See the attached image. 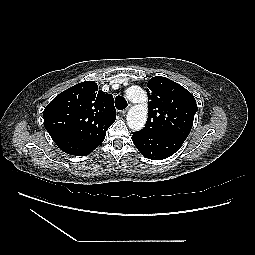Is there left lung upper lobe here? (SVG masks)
<instances>
[{
  "mask_svg": "<svg viewBox=\"0 0 255 255\" xmlns=\"http://www.w3.org/2000/svg\"><path fill=\"white\" fill-rule=\"evenodd\" d=\"M149 113L145 135H174L187 138L197 112L194 96L180 84L162 76L147 84Z\"/></svg>",
  "mask_w": 255,
  "mask_h": 255,
  "instance_id": "5c2ea615",
  "label": "left lung upper lobe"
}]
</instances>
